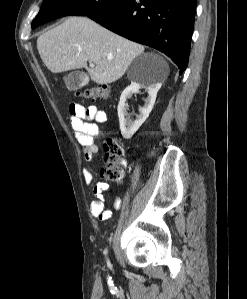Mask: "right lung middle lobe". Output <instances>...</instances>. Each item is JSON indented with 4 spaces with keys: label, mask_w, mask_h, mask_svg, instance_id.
<instances>
[{
    "label": "right lung middle lobe",
    "mask_w": 247,
    "mask_h": 299,
    "mask_svg": "<svg viewBox=\"0 0 247 299\" xmlns=\"http://www.w3.org/2000/svg\"><path fill=\"white\" fill-rule=\"evenodd\" d=\"M124 0H44L32 28L63 16H88L112 8Z\"/></svg>",
    "instance_id": "1"
}]
</instances>
